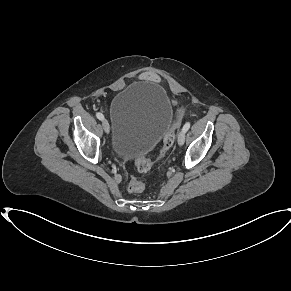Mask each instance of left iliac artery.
<instances>
[{
    "instance_id": "obj_1",
    "label": "left iliac artery",
    "mask_w": 291,
    "mask_h": 291,
    "mask_svg": "<svg viewBox=\"0 0 291 291\" xmlns=\"http://www.w3.org/2000/svg\"><path fill=\"white\" fill-rule=\"evenodd\" d=\"M190 125H191L190 122H187V123L183 126V129H182V130H183L184 132H187L188 129L190 128Z\"/></svg>"
}]
</instances>
